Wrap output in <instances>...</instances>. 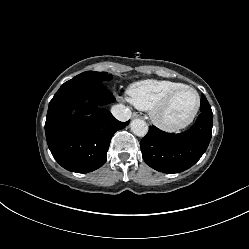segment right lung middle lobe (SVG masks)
<instances>
[{
  "label": "right lung middle lobe",
  "mask_w": 249,
  "mask_h": 249,
  "mask_svg": "<svg viewBox=\"0 0 249 249\" xmlns=\"http://www.w3.org/2000/svg\"><path fill=\"white\" fill-rule=\"evenodd\" d=\"M74 79H88L95 84H102L104 81L111 80L112 76L106 72L86 71L77 75Z\"/></svg>",
  "instance_id": "obj_1"
}]
</instances>
